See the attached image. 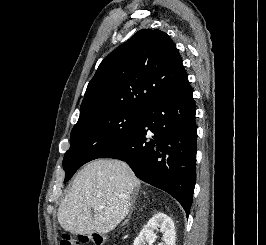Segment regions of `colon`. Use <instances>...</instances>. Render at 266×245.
Returning a JSON list of instances; mask_svg holds the SVG:
<instances>
[{"instance_id": "obj_1", "label": "colon", "mask_w": 266, "mask_h": 245, "mask_svg": "<svg viewBox=\"0 0 266 245\" xmlns=\"http://www.w3.org/2000/svg\"><path fill=\"white\" fill-rule=\"evenodd\" d=\"M103 241V238L101 235L96 234L91 237H87L84 235H79L76 238H72L69 235H62L59 245H101Z\"/></svg>"}]
</instances>
